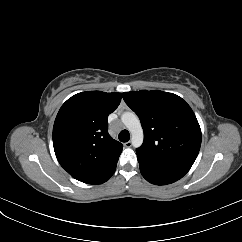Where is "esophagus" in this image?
Masks as SVG:
<instances>
[{
    "label": "esophagus",
    "instance_id": "esophagus-1",
    "mask_svg": "<svg viewBox=\"0 0 242 242\" xmlns=\"http://www.w3.org/2000/svg\"><path fill=\"white\" fill-rule=\"evenodd\" d=\"M124 146L127 147V148L131 147L132 146L131 141L125 142Z\"/></svg>",
    "mask_w": 242,
    "mask_h": 242
}]
</instances>
